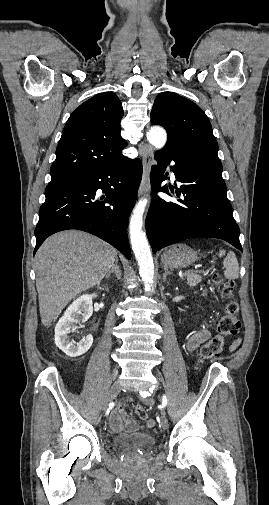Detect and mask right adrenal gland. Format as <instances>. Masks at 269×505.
Listing matches in <instances>:
<instances>
[{"label":"right adrenal gland","mask_w":269,"mask_h":505,"mask_svg":"<svg viewBox=\"0 0 269 505\" xmlns=\"http://www.w3.org/2000/svg\"><path fill=\"white\" fill-rule=\"evenodd\" d=\"M113 273L116 275L118 280L121 279V271L118 266V259H116L115 264L113 265L112 269L109 270V272L106 274V278H109L111 276V274H113Z\"/></svg>","instance_id":"1"}]
</instances>
